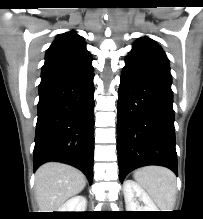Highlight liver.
I'll return each mask as SVG.
<instances>
[{
  "label": "liver",
  "mask_w": 203,
  "mask_h": 219,
  "mask_svg": "<svg viewBox=\"0 0 203 219\" xmlns=\"http://www.w3.org/2000/svg\"><path fill=\"white\" fill-rule=\"evenodd\" d=\"M87 179L78 169L59 162L41 165L35 174L36 200L42 212H59L71 197L80 193Z\"/></svg>",
  "instance_id": "6515ba94"
}]
</instances>
